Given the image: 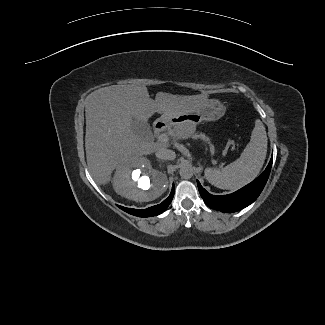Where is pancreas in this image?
<instances>
[{
    "instance_id": "obj_1",
    "label": "pancreas",
    "mask_w": 325,
    "mask_h": 325,
    "mask_svg": "<svg viewBox=\"0 0 325 325\" xmlns=\"http://www.w3.org/2000/svg\"><path fill=\"white\" fill-rule=\"evenodd\" d=\"M197 137L201 138L204 141H209V138L206 137L204 134H199V135H197Z\"/></svg>"
}]
</instances>
